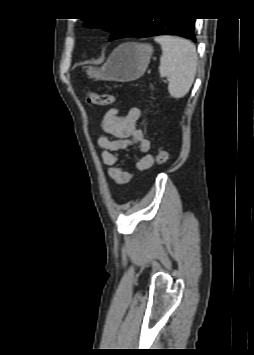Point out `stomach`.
Wrapping results in <instances>:
<instances>
[{"instance_id":"stomach-1","label":"stomach","mask_w":254,"mask_h":355,"mask_svg":"<svg viewBox=\"0 0 254 355\" xmlns=\"http://www.w3.org/2000/svg\"><path fill=\"white\" fill-rule=\"evenodd\" d=\"M153 48L149 44L124 43L119 45L100 68L88 67L87 73L96 79L129 82L146 71Z\"/></svg>"}]
</instances>
